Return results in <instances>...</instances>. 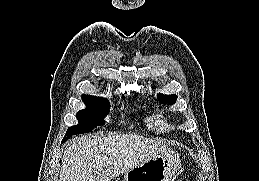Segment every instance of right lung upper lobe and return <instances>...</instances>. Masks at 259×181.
<instances>
[{
	"label": "right lung upper lobe",
	"mask_w": 259,
	"mask_h": 181,
	"mask_svg": "<svg viewBox=\"0 0 259 181\" xmlns=\"http://www.w3.org/2000/svg\"><path fill=\"white\" fill-rule=\"evenodd\" d=\"M83 96H90V95H83ZM90 97H94V96H90Z\"/></svg>",
	"instance_id": "1"
}]
</instances>
